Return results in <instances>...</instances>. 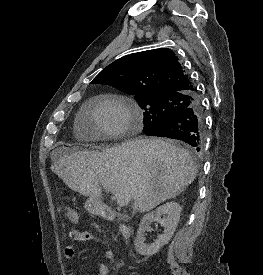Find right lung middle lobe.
<instances>
[{
    "label": "right lung middle lobe",
    "instance_id": "1",
    "mask_svg": "<svg viewBox=\"0 0 263 275\" xmlns=\"http://www.w3.org/2000/svg\"><path fill=\"white\" fill-rule=\"evenodd\" d=\"M135 99L143 110L144 133L157 127L194 103V98L185 94L135 96Z\"/></svg>",
    "mask_w": 263,
    "mask_h": 275
}]
</instances>
